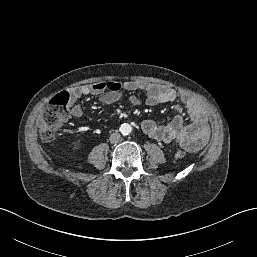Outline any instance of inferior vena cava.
<instances>
[{"label": "inferior vena cava", "instance_id": "obj_1", "mask_svg": "<svg viewBox=\"0 0 257 257\" xmlns=\"http://www.w3.org/2000/svg\"><path fill=\"white\" fill-rule=\"evenodd\" d=\"M121 136L118 132H114L110 135V142L111 143H117L119 142Z\"/></svg>", "mask_w": 257, "mask_h": 257}]
</instances>
